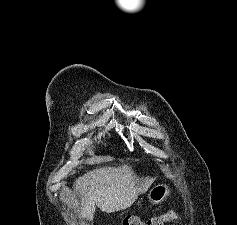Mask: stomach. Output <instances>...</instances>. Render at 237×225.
Listing matches in <instances>:
<instances>
[{"mask_svg": "<svg viewBox=\"0 0 237 225\" xmlns=\"http://www.w3.org/2000/svg\"><path fill=\"white\" fill-rule=\"evenodd\" d=\"M171 192L172 190L167 184H157L149 191L148 200L151 205H159L171 194Z\"/></svg>", "mask_w": 237, "mask_h": 225, "instance_id": "obj_1", "label": "stomach"}]
</instances>
